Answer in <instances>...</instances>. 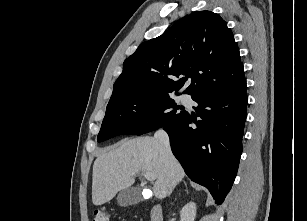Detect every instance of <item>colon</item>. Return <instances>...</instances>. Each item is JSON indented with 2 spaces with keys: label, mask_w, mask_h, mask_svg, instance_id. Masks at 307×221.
I'll list each match as a JSON object with an SVG mask.
<instances>
[{
  "label": "colon",
  "mask_w": 307,
  "mask_h": 221,
  "mask_svg": "<svg viewBox=\"0 0 307 221\" xmlns=\"http://www.w3.org/2000/svg\"><path fill=\"white\" fill-rule=\"evenodd\" d=\"M93 221H110V216L105 208L100 207L95 210Z\"/></svg>",
  "instance_id": "1"
}]
</instances>
